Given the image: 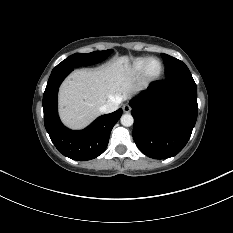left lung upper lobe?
<instances>
[{"mask_svg": "<svg viewBox=\"0 0 233 233\" xmlns=\"http://www.w3.org/2000/svg\"><path fill=\"white\" fill-rule=\"evenodd\" d=\"M162 57L165 63L166 78L192 76L189 69L182 61L167 54H162Z\"/></svg>", "mask_w": 233, "mask_h": 233, "instance_id": "obj_1", "label": "left lung upper lobe"}]
</instances>
